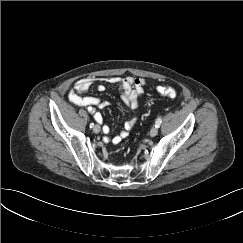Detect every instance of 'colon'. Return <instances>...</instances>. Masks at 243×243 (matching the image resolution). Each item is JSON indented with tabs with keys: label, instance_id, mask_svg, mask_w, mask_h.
Instances as JSON below:
<instances>
[{
	"label": "colon",
	"instance_id": "5ec220e1",
	"mask_svg": "<svg viewBox=\"0 0 243 243\" xmlns=\"http://www.w3.org/2000/svg\"><path fill=\"white\" fill-rule=\"evenodd\" d=\"M157 91L166 97L174 98L176 96V91L173 87L171 86H159L157 88Z\"/></svg>",
	"mask_w": 243,
	"mask_h": 243
}]
</instances>
